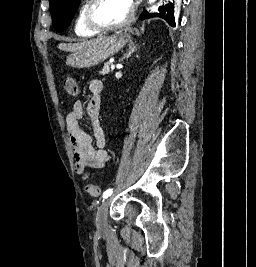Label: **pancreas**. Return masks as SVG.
<instances>
[{
    "label": "pancreas",
    "mask_w": 256,
    "mask_h": 267,
    "mask_svg": "<svg viewBox=\"0 0 256 267\" xmlns=\"http://www.w3.org/2000/svg\"><path fill=\"white\" fill-rule=\"evenodd\" d=\"M109 72H111V70H110L108 64H105V66H104L102 72H100V74H103V76H106V74H109Z\"/></svg>",
    "instance_id": "obj_1"
}]
</instances>
